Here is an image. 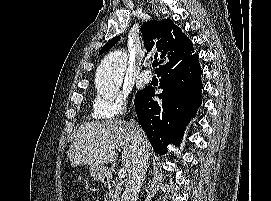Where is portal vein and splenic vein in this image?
Here are the masks:
<instances>
[{
    "instance_id": "1",
    "label": "portal vein and splenic vein",
    "mask_w": 271,
    "mask_h": 201,
    "mask_svg": "<svg viewBox=\"0 0 271 201\" xmlns=\"http://www.w3.org/2000/svg\"><path fill=\"white\" fill-rule=\"evenodd\" d=\"M126 176V171L124 169H120L118 171V177L121 179V178H124Z\"/></svg>"
}]
</instances>
